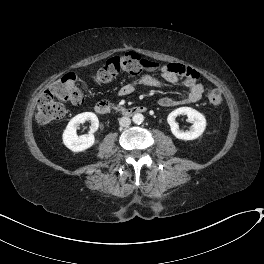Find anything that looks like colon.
<instances>
[{
  "instance_id": "obj_1",
  "label": "colon",
  "mask_w": 264,
  "mask_h": 264,
  "mask_svg": "<svg viewBox=\"0 0 264 264\" xmlns=\"http://www.w3.org/2000/svg\"><path fill=\"white\" fill-rule=\"evenodd\" d=\"M143 68L141 58L133 53L111 58L97 71L96 79L107 82L120 73H137ZM206 98L215 108L221 107L223 97L221 91L213 86L206 88ZM84 99L81 85L74 73H68L53 83L50 91L42 93L37 101L36 120L40 124H48L63 118L66 107L59 100L71 104H80Z\"/></svg>"
}]
</instances>
